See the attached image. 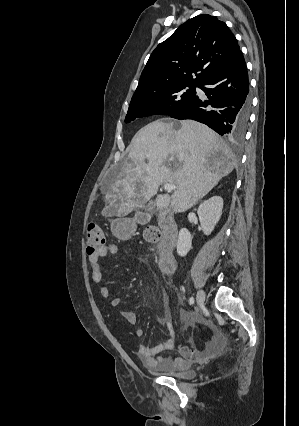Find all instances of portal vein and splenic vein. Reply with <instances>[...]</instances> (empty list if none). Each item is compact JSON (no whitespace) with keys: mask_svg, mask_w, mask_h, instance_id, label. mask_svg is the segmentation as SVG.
I'll return each instance as SVG.
<instances>
[{"mask_svg":"<svg viewBox=\"0 0 299 426\" xmlns=\"http://www.w3.org/2000/svg\"><path fill=\"white\" fill-rule=\"evenodd\" d=\"M177 187L175 186V185H173V184H170V183H165L164 184V189L166 190V191H168V192H170V191H172V190H175Z\"/></svg>","mask_w":299,"mask_h":426,"instance_id":"1","label":"portal vein and splenic vein"}]
</instances>
